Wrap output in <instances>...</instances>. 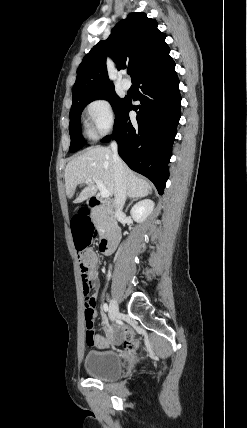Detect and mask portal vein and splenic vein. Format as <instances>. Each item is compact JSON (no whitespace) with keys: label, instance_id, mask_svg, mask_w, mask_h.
Wrapping results in <instances>:
<instances>
[{"label":"portal vein and splenic vein","instance_id":"18ae733b","mask_svg":"<svg viewBox=\"0 0 247 428\" xmlns=\"http://www.w3.org/2000/svg\"><path fill=\"white\" fill-rule=\"evenodd\" d=\"M88 182L91 181V179L87 180ZM96 185L98 187V189L100 190V195L103 198L109 197L110 193L109 191L105 188L104 184L102 183V181L100 180H95Z\"/></svg>","mask_w":247,"mask_h":428}]
</instances>
